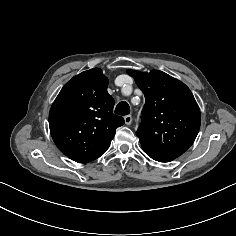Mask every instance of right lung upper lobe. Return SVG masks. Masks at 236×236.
Instances as JSON below:
<instances>
[{
    "label": "right lung upper lobe",
    "instance_id": "cb5924a9",
    "mask_svg": "<svg viewBox=\"0 0 236 236\" xmlns=\"http://www.w3.org/2000/svg\"><path fill=\"white\" fill-rule=\"evenodd\" d=\"M108 79L99 68L74 76L61 89L49 112L51 136L70 159L87 163L103 155L124 119L113 114Z\"/></svg>",
    "mask_w": 236,
    "mask_h": 236
}]
</instances>
